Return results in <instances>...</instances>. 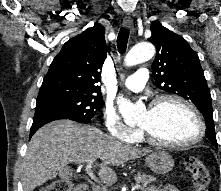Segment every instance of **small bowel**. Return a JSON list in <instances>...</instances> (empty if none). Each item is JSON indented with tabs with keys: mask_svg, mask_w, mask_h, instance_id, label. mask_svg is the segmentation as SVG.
<instances>
[{
	"mask_svg": "<svg viewBox=\"0 0 221 191\" xmlns=\"http://www.w3.org/2000/svg\"><path fill=\"white\" fill-rule=\"evenodd\" d=\"M146 191H179L175 186L171 184L165 185L162 189H158L156 187H149Z\"/></svg>",
	"mask_w": 221,
	"mask_h": 191,
	"instance_id": "small-bowel-1",
	"label": "small bowel"
}]
</instances>
